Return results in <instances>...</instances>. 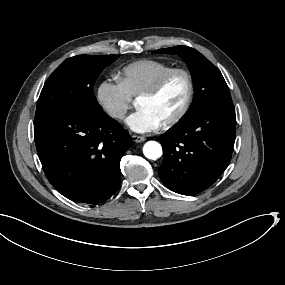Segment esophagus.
<instances>
[{
	"label": "esophagus",
	"instance_id": "1",
	"mask_svg": "<svg viewBox=\"0 0 285 285\" xmlns=\"http://www.w3.org/2000/svg\"><path fill=\"white\" fill-rule=\"evenodd\" d=\"M132 140L136 143H140L146 140L145 137L139 135H132Z\"/></svg>",
	"mask_w": 285,
	"mask_h": 285
}]
</instances>
